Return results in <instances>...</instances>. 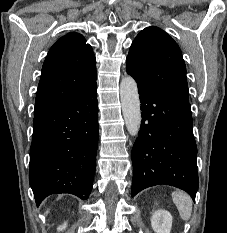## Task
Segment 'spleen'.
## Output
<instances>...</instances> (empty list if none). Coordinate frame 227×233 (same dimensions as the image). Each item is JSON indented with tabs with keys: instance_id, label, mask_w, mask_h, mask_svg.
<instances>
[{
	"instance_id": "3e777b00",
	"label": "spleen",
	"mask_w": 227,
	"mask_h": 233,
	"mask_svg": "<svg viewBox=\"0 0 227 233\" xmlns=\"http://www.w3.org/2000/svg\"><path fill=\"white\" fill-rule=\"evenodd\" d=\"M172 199L181 218L185 221L189 220L192 213V199L190 196L183 191H175L172 193Z\"/></svg>"
}]
</instances>
